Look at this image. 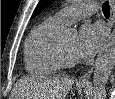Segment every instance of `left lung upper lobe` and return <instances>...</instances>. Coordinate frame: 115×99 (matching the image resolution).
<instances>
[{
    "label": "left lung upper lobe",
    "instance_id": "obj_1",
    "mask_svg": "<svg viewBox=\"0 0 115 99\" xmlns=\"http://www.w3.org/2000/svg\"><path fill=\"white\" fill-rule=\"evenodd\" d=\"M54 0H40L38 5L36 6L32 17L36 16L39 12H41L45 7L51 4Z\"/></svg>",
    "mask_w": 115,
    "mask_h": 99
}]
</instances>
